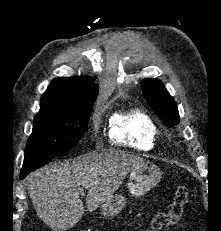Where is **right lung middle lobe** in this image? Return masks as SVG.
<instances>
[{
    "label": "right lung middle lobe",
    "instance_id": "obj_1",
    "mask_svg": "<svg viewBox=\"0 0 221 231\" xmlns=\"http://www.w3.org/2000/svg\"><path fill=\"white\" fill-rule=\"evenodd\" d=\"M93 103L73 109L40 110L34 118L22 168L61 156L83 137Z\"/></svg>",
    "mask_w": 221,
    "mask_h": 231
}]
</instances>
